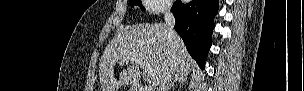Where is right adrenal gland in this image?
<instances>
[{
	"label": "right adrenal gland",
	"mask_w": 304,
	"mask_h": 91,
	"mask_svg": "<svg viewBox=\"0 0 304 91\" xmlns=\"http://www.w3.org/2000/svg\"><path fill=\"white\" fill-rule=\"evenodd\" d=\"M187 75L185 73H180L179 75H177L174 79V81L170 84L169 89L172 88L174 86L175 83H181V84H185L187 82Z\"/></svg>",
	"instance_id": "1"
}]
</instances>
